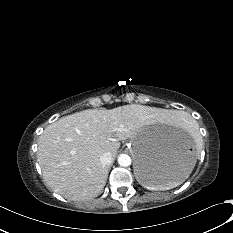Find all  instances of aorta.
I'll use <instances>...</instances> for the list:
<instances>
[{
    "label": "aorta",
    "mask_w": 233,
    "mask_h": 233,
    "mask_svg": "<svg viewBox=\"0 0 233 233\" xmlns=\"http://www.w3.org/2000/svg\"><path fill=\"white\" fill-rule=\"evenodd\" d=\"M131 158H130V156L129 155H127V154H120L119 156H118V163H119V165L120 166H122V167H128V166H130L131 165Z\"/></svg>",
    "instance_id": "1"
}]
</instances>
